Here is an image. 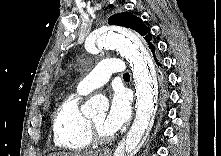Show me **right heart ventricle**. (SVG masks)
<instances>
[{
  "instance_id": "1",
  "label": "right heart ventricle",
  "mask_w": 221,
  "mask_h": 156,
  "mask_svg": "<svg viewBox=\"0 0 221 156\" xmlns=\"http://www.w3.org/2000/svg\"><path fill=\"white\" fill-rule=\"evenodd\" d=\"M84 94H69L58 106L53 119V140L63 150L79 151L90 146L88 119L80 109Z\"/></svg>"
}]
</instances>
